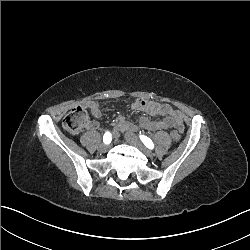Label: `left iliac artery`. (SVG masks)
I'll list each match as a JSON object with an SVG mask.
<instances>
[{"label":"left iliac artery","mask_w":250,"mask_h":250,"mask_svg":"<svg viewBox=\"0 0 250 250\" xmlns=\"http://www.w3.org/2000/svg\"><path fill=\"white\" fill-rule=\"evenodd\" d=\"M141 141L144 143V145L149 148V149H153L154 148V144L152 142V140L150 138H148L145 135H141L140 136Z\"/></svg>","instance_id":"44dca946"}]
</instances>
